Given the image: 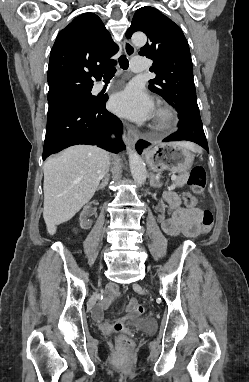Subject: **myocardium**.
Wrapping results in <instances>:
<instances>
[{
  "instance_id": "obj_1",
  "label": "myocardium",
  "mask_w": 249,
  "mask_h": 382,
  "mask_svg": "<svg viewBox=\"0 0 249 382\" xmlns=\"http://www.w3.org/2000/svg\"><path fill=\"white\" fill-rule=\"evenodd\" d=\"M176 124V115L174 111L166 105L159 106L154 114V120L151 129L156 133H166Z\"/></svg>"
}]
</instances>
